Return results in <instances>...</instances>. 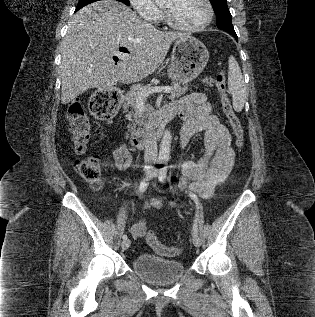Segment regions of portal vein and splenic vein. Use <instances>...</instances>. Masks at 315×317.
<instances>
[{"label":"portal vein and splenic vein","instance_id":"obj_1","mask_svg":"<svg viewBox=\"0 0 315 317\" xmlns=\"http://www.w3.org/2000/svg\"><path fill=\"white\" fill-rule=\"evenodd\" d=\"M171 91H172V88L170 87H152V88H149L147 91L140 93L138 97V100H139L138 102H143V99L150 94L158 93V92L170 93Z\"/></svg>","mask_w":315,"mask_h":317}]
</instances>
